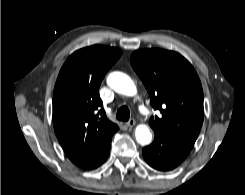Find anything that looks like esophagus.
Segmentation results:
<instances>
[{
    "mask_svg": "<svg viewBox=\"0 0 245 195\" xmlns=\"http://www.w3.org/2000/svg\"><path fill=\"white\" fill-rule=\"evenodd\" d=\"M135 124H136V121L134 119H130L128 122H126V125L130 128L135 126Z\"/></svg>",
    "mask_w": 245,
    "mask_h": 195,
    "instance_id": "1",
    "label": "esophagus"
}]
</instances>
